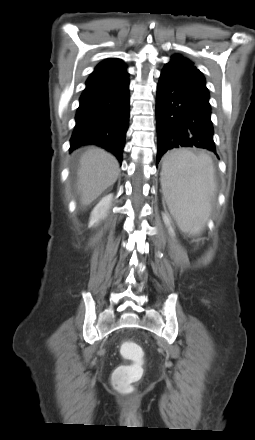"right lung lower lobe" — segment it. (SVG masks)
I'll return each mask as SVG.
<instances>
[{
    "label": "right lung lower lobe",
    "instance_id": "1",
    "mask_svg": "<svg viewBox=\"0 0 255 440\" xmlns=\"http://www.w3.org/2000/svg\"><path fill=\"white\" fill-rule=\"evenodd\" d=\"M79 101L71 151L76 146L95 144L113 153L121 163L130 115L126 65L87 80Z\"/></svg>",
    "mask_w": 255,
    "mask_h": 440
}]
</instances>
